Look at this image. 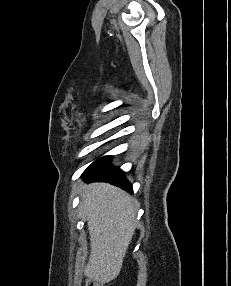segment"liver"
Here are the masks:
<instances>
[{
	"label": "liver",
	"instance_id": "liver-1",
	"mask_svg": "<svg viewBox=\"0 0 231 286\" xmlns=\"http://www.w3.org/2000/svg\"><path fill=\"white\" fill-rule=\"evenodd\" d=\"M82 212L90 235V257L84 274L105 284L122 268L135 233L137 203L125 191L106 183L85 185Z\"/></svg>",
	"mask_w": 231,
	"mask_h": 286
}]
</instances>
